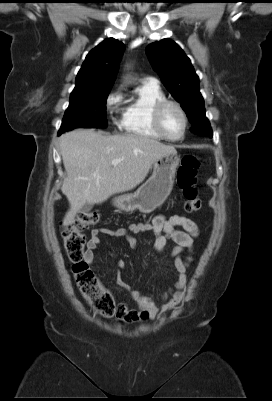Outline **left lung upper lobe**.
Returning <instances> with one entry per match:
<instances>
[{"label":"left lung upper lobe","mask_w":272,"mask_h":401,"mask_svg":"<svg viewBox=\"0 0 272 401\" xmlns=\"http://www.w3.org/2000/svg\"><path fill=\"white\" fill-rule=\"evenodd\" d=\"M146 53L164 86L186 112L193 125L191 131L201 136H212L199 90V77L183 50L173 40L163 39L148 45Z\"/></svg>","instance_id":"5c2ea615"}]
</instances>
